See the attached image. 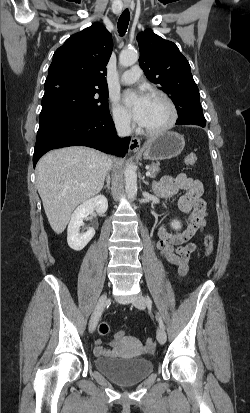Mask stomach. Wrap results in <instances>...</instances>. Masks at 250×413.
Returning a JSON list of instances; mask_svg holds the SVG:
<instances>
[{
	"label": "stomach",
	"mask_w": 250,
	"mask_h": 413,
	"mask_svg": "<svg viewBox=\"0 0 250 413\" xmlns=\"http://www.w3.org/2000/svg\"><path fill=\"white\" fill-rule=\"evenodd\" d=\"M185 146L184 136L173 131L149 139L140 150L146 160H165L178 156Z\"/></svg>",
	"instance_id": "1"
}]
</instances>
